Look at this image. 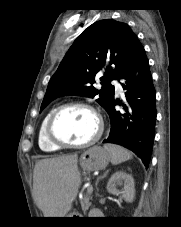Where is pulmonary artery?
<instances>
[{
	"label": "pulmonary artery",
	"mask_w": 181,
	"mask_h": 227,
	"mask_svg": "<svg viewBox=\"0 0 181 227\" xmlns=\"http://www.w3.org/2000/svg\"><path fill=\"white\" fill-rule=\"evenodd\" d=\"M115 89H116L117 94L122 93V87L119 83L115 84Z\"/></svg>",
	"instance_id": "e3ab8cb5"
}]
</instances>
